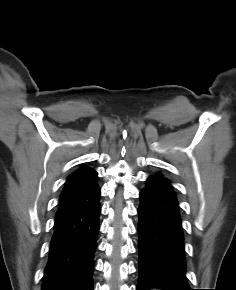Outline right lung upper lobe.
Segmentation results:
<instances>
[{"mask_svg":"<svg viewBox=\"0 0 236 290\" xmlns=\"http://www.w3.org/2000/svg\"><path fill=\"white\" fill-rule=\"evenodd\" d=\"M98 174L86 165L69 176L60 195V206L56 216L63 215L87 205L100 193L97 186Z\"/></svg>","mask_w":236,"mask_h":290,"instance_id":"cb5924a9","label":"right lung upper lobe"}]
</instances>
